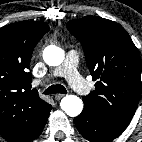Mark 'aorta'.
Here are the masks:
<instances>
[{"instance_id": "obj_1", "label": "aorta", "mask_w": 142, "mask_h": 142, "mask_svg": "<svg viewBox=\"0 0 142 142\" xmlns=\"http://www.w3.org/2000/svg\"><path fill=\"white\" fill-rule=\"evenodd\" d=\"M43 59L49 66H58L64 60V51L57 45H50L43 51ZM61 109L70 117L80 115L83 110L82 100L75 95L65 96L60 103Z\"/></svg>"}]
</instances>
